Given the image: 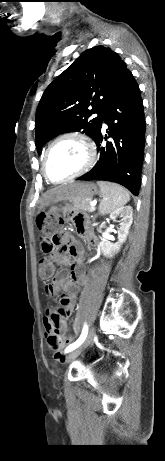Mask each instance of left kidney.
I'll return each mask as SVG.
<instances>
[{
    "label": "left kidney",
    "mask_w": 165,
    "mask_h": 461,
    "mask_svg": "<svg viewBox=\"0 0 165 461\" xmlns=\"http://www.w3.org/2000/svg\"><path fill=\"white\" fill-rule=\"evenodd\" d=\"M133 210L131 206H124L116 209L110 214V218L116 222L118 217H121L120 228L118 230V242L113 244L107 240H103L100 244L102 253L107 257H113L115 253L119 252L121 245L126 241L132 224Z\"/></svg>",
    "instance_id": "5707ae66"
}]
</instances>
